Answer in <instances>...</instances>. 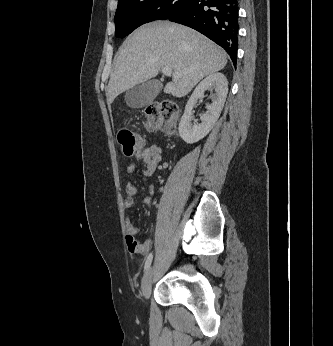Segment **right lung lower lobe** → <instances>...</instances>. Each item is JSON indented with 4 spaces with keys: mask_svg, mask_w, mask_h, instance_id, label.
Returning a JSON list of instances; mask_svg holds the SVG:
<instances>
[{
    "mask_svg": "<svg viewBox=\"0 0 333 346\" xmlns=\"http://www.w3.org/2000/svg\"><path fill=\"white\" fill-rule=\"evenodd\" d=\"M238 0H185L167 19L191 27L223 47L236 65Z\"/></svg>",
    "mask_w": 333,
    "mask_h": 346,
    "instance_id": "98d812e1",
    "label": "right lung lower lobe"
}]
</instances>
